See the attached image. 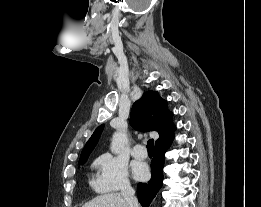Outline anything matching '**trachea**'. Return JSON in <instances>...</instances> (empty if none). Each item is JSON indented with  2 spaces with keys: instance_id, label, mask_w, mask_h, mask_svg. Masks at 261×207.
Segmentation results:
<instances>
[{
  "instance_id": "obj_1",
  "label": "trachea",
  "mask_w": 261,
  "mask_h": 207,
  "mask_svg": "<svg viewBox=\"0 0 261 207\" xmlns=\"http://www.w3.org/2000/svg\"><path fill=\"white\" fill-rule=\"evenodd\" d=\"M147 149L148 152H153L154 151V140L153 139H149L147 142Z\"/></svg>"
}]
</instances>
